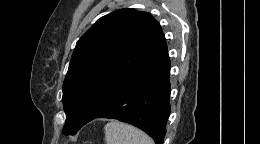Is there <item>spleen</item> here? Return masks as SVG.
Wrapping results in <instances>:
<instances>
[{
    "label": "spleen",
    "mask_w": 260,
    "mask_h": 144,
    "mask_svg": "<svg viewBox=\"0 0 260 144\" xmlns=\"http://www.w3.org/2000/svg\"><path fill=\"white\" fill-rule=\"evenodd\" d=\"M106 144H154L143 131L113 120L104 126Z\"/></svg>",
    "instance_id": "1"
}]
</instances>
